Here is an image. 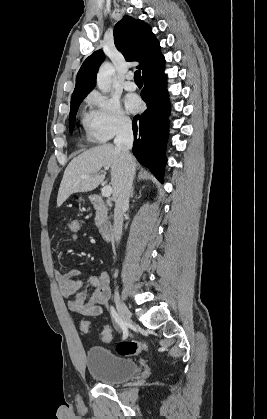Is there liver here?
<instances>
[{
	"label": "liver",
	"instance_id": "obj_1",
	"mask_svg": "<svg viewBox=\"0 0 267 419\" xmlns=\"http://www.w3.org/2000/svg\"><path fill=\"white\" fill-rule=\"evenodd\" d=\"M111 168L113 199L117 198L119 182L123 174L120 151L113 144H103L84 151L68 164L60 184L57 206H61L71 194L94 190L105 179L98 174L102 168ZM83 175L89 177L83 178Z\"/></svg>",
	"mask_w": 267,
	"mask_h": 419
}]
</instances>
